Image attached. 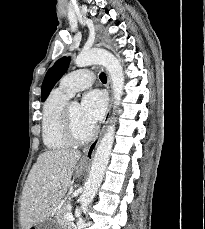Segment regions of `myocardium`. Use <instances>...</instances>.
Here are the masks:
<instances>
[{
	"mask_svg": "<svg viewBox=\"0 0 205 229\" xmlns=\"http://www.w3.org/2000/svg\"><path fill=\"white\" fill-rule=\"evenodd\" d=\"M71 103L67 102L63 108L61 116V131L66 140L71 144L79 145L89 142L95 135L96 129L94 127L84 136H80L76 133L71 113H70Z\"/></svg>",
	"mask_w": 205,
	"mask_h": 229,
	"instance_id": "obj_1",
	"label": "myocardium"
}]
</instances>
